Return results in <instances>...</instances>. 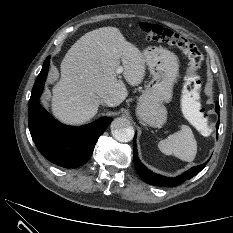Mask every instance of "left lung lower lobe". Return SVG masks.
<instances>
[{"instance_id":"obj_1","label":"left lung lower lobe","mask_w":233,"mask_h":233,"mask_svg":"<svg viewBox=\"0 0 233 233\" xmlns=\"http://www.w3.org/2000/svg\"><path fill=\"white\" fill-rule=\"evenodd\" d=\"M216 112L219 114V103L216 104L215 108ZM219 127V121L216 124V128ZM133 151H134V165L135 168L141 177V179L151 185L156 186H167V187H173L176 185H179L183 183L184 181L194 177L196 174H198L206 165V163L192 167L191 169L184 172L182 175L177 176L176 178H167L161 175H158L156 173H153L150 171L146 166H144L137 156V147H136V135L133 140Z\"/></svg>"}]
</instances>
